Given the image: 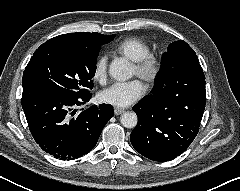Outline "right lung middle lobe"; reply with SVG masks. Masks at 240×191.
Listing matches in <instances>:
<instances>
[{
	"label": "right lung middle lobe",
	"instance_id": "right-lung-middle-lobe-1",
	"mask_svg": "<svg viewBox=\"0 0 240 191\" xmlns=\"http://www.w3.org/2000/svg\"><path fill=\"white\" fill-rule=\"evenodd\" d=\"M100 47L94 49L42 44L26 66L23 86H44L75 96L89 94Z\"/></svg>",
	"mask_w": 240,
	"mask_h": 191
}]
</instances>
